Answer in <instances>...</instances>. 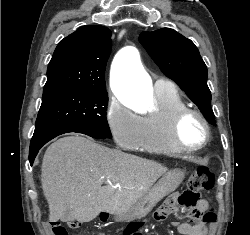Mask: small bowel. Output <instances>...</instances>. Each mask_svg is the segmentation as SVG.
Returning <instances> with one entry per match:
<instances>
[{
  "label": "small bowel",
  "instance_id": "c3829d8e",
  "mask_svg": "<svg viewBox=\"0 0 250 235\" xmlns=\"http://www.w3.org/2000/svg\"><path fill=\"white\" fill-rule=\"evenodd\" d=\"M181 204V203H180ZM173 200H168L164 206L158 211L156 221H164L168 213L172 210ZM208 207L206 200H200L195 206L194 211L197 213H203ZM193 223L187 222H175L174 226L181 235H208V226L204 223L199 215L195 216ZM125 235H139L136 229H131Z\"/></svg>",
  "mask_w": 250,
  "mask_h": 235
}]
</instances>
